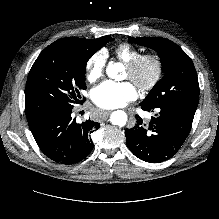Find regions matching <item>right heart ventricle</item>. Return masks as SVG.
Instances as JSON below:
<instances>
[{"label":"right heart ventricle","instance_id":"right-heart-ventricle-1","mask_svg":"<svg viewBox=\"0 0 219 219\" xmlns=\"http://www.w3.org/2000/svg\"><path fill=\"white\" fill-rule=\"evenodd\" d=\"M115 57L124 64H127L139 56L141 51L128 43L119 44L114 50Z\"/></svg>","mask_w":219,"mask_h":219}]
</instances>
